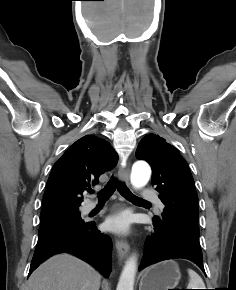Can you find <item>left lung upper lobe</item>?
Wrapping results in <instances>:
<instances>
[{
    "label": "left lung upper lobe",
    "instance_id": "left-lung-upper-lobe-1",
    "mask_svg": "<svg viewBox=\"0 0 236 290\" xmlns=\"http://www.w3.org/2000/svg\"><path fill=\"white\" fill-rule=\"evenodd\" d=\"M136 157L147 161L152 168L151 184L165 205L162 218L157 222H170L199 235L198 195L185 159L164 138L155 134L145 136L136 150Z\"/></svg>",
    "mask_w": 236,
    "mask_h": 290
}]
</instances>
